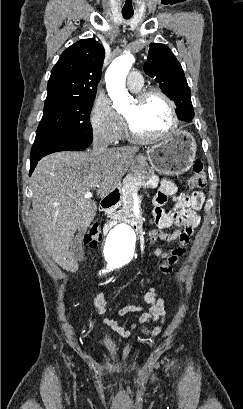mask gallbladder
Listing matches in <instances>:
<instances>
[{"instance_id":"bac80fb5","label":"gallbladder","mask_w":243,"mask_h":409,"mask_svg":"<svg viewBox=\"0 0 243 409\" xmlns=\"http://www.w3.org/2000/svg\"><path fill=\"white\" fill-rule=\"evenodd\" d=\"M71 251L77 261L81 260L82 256V245H81V235L77 234L71 244Z\"/></svg>"}]
</instances>
